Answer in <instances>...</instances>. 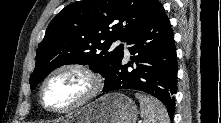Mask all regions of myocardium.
<instances>
[{
	"mask_svg": "<svg viewBox=\"0 0 221 123\" xmlns=\"http://www.w3.org/2000/svg\"><path fill=\"white\" fill-rule=\"evenodd\" d=\"M64 71H75L83 74L90 82V88L87 91V93L77 102L74 104H71L69 106L63 107V108H55L49 106L44 99V91L45 87L48 84V82L58 73L64 72ZM103 88V80L101 76L93 71L90 67L79 64V63H67L60 65L56 68H54L43 80L40 89H39V99L40 103L43 106V108L51 113H66L70 112L76 109H79L88 103H90L92 100H94L102 91Z\"/></svg>",
	"mask_w": 221,
	"mask_h": 123,
	"instance_id": "f54148a6",
	"label": "myocardium"
}]
</instances>
